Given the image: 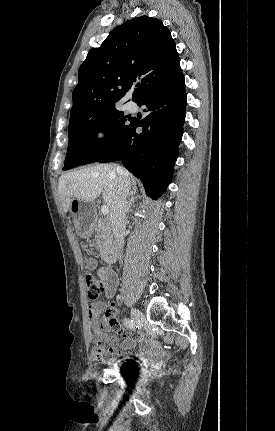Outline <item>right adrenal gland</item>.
<instances>
[{"label":"right adrenal gland","instance_id":"1","mask_svg":"<svg viewBox=\"0 0 275 431\" xmlns=\"http://www.w3.org/2000/svg\"><path fill=\"white\" fill-rule=\"evenodd\" d=\"M138 197H131L130 200L127 203V209L126 212L128 213L132 204H134V202L137 200Z\"/></svg>","mask_w":275,"mask_h":431}]
</instances>
